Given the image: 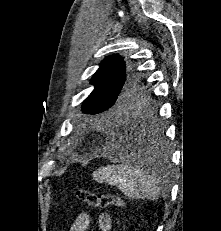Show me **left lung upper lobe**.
<instances>
[{
	"label": "left lung upper lobe",
	"mask_w": 221,
	"mask_h": 231,
	"mask_svg": "<svg viewBox=\"0 0 221 231\" xmlns=\"http://www.w3.org/2000/svg\"><path fill=\"white\" fill-rule=\"evenodd\" d=\"M91 83L95 88L83 102L85 114L113 113L151 99L139 74L136 71L126 74L123 58L119 55L106 57Z\"/></svg>",
	"instance_id": "left-lung-upper-lobe-1"
}]
</instances>
